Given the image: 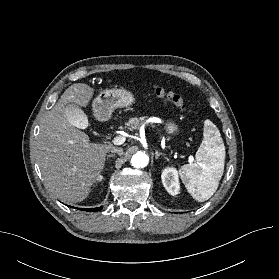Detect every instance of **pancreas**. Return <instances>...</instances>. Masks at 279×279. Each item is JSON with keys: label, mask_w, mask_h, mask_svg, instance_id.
<instances>
[{"label": "pancreas", "mask_w": 279, "mask_h": 279, "mask_svg": "<svg viewBox=\"0 0 279 279\" xmlns=\"http://www.w3.org/2000/svg\"><path fill=\"white\" fill-rule=\"evenodd\" d=\"M146 120V117H140V118H130L126 125L128 126V129L130 131L136 130L140 128V125L143 123V121Z\"/></svg>", "instance_id": "pancreas-1"}]
</instances>
